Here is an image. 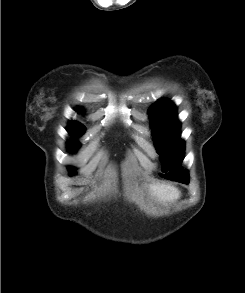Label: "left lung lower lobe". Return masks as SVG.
<instances>
[{
	"instance_id": "0a47b994",
	"label": "left lung lower lobe",
	"mask_w": 245,
	"mask_h": 293,
	"mask_svg": "<svg viewBox=\"0 0 245 293\" xmlns=\"http://www.w3.org/2000/svg\"><path fill=\"white\" fill-rule=\"evenodd\" d=\"M181 183L188 184L189 183V177L179 179Z\"/></svg>"
}]
</instances>
